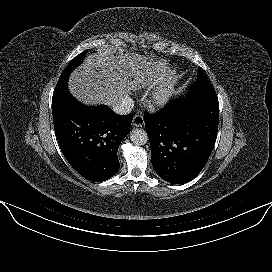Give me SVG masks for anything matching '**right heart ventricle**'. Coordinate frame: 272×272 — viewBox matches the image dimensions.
Wrapping results in <instances>:
<instances>
[{"label":"right heart ventricle","instance_id":"1","mask_svg":"<svg viewBox=\"0 0 272 272\" xmlns=\"http://www.w3.org/2000/svg\"><path fill=\"white\" fill-rule=\"evenodd\" d=\"M166 64L165 63H159L157 64L151 73V80L157 81L165 72Z\"/></svg>","mask_w":272,"mask_h":272}]
</instances>
